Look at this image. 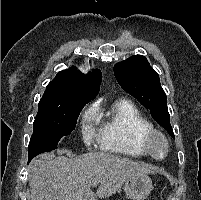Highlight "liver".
Segmentation results:
<instances>
[{"mask_svg": "<svg viewBox=\"0 0 201 200\" xmlns=\"http://www.w3.org/2000/svg\"><path fill=\"white\" fill-rule=\"evenodd\" d=\"M141 163L102 152L75 158L53 154L35 159L30 165V200H97L115 194L130 178L152 174ZM100 183L96 194L93 182Z\"/></svg>", "mask_w": 201, "mask_h": 200, "instance_id": "1", "label": "liver"}]
</instances>
